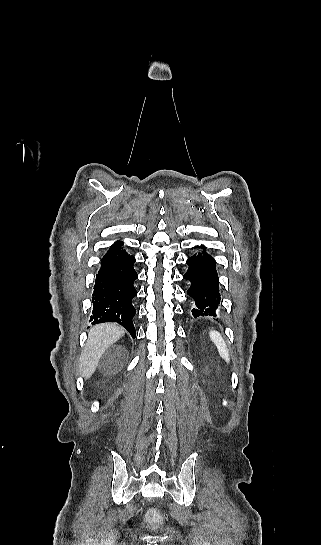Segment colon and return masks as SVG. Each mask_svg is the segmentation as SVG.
<instances>
[{
    "label": "colon",
    "mask_w": 321,
    "mask_h": 545,
    "mask_svg": "<svg viewBox=\"0 0 321 545\" xmlns=\"http://www.w3.org/2000/svg\"><path fill=\"white\" fill-rule=\"evenodd\" d=\"M161 515L158 511L152 509L146 514V520L151 525H157L161 522Z\"/></svg>",
    "instance_id": "colon-1"
}]
</instances>
